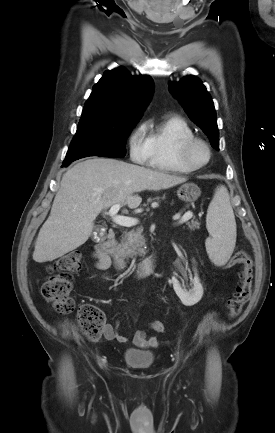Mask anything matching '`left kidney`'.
<instances>
[{
	"label": "left kidney",
	"mask_w": 275,
	"mask_h": 433,
	"mask_svg": "<svg viewBox=\"0 0 275 433\" xmlns=\"http://www.w3.org/2000/svg\"><path fill=\"white\" fill-rule=\"evenodd\" d=\"M172 284L177 296L180 298L182 303L186 306H192L198 303L203 296V287L202 284L200 283L197 273H195V277L193 280V288L190 289L189 291L183 289L179 284V282L177 281V279L175 278H172Z\"/></svg>",
	"instance_id": "5707ae66"
}]
</instances>
